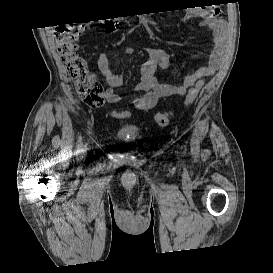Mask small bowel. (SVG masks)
<instances>
[{
	"label": "small bowel",
	"instance_id": "1",
	"mask_svg": "<svg viewBox=\"0 0 273 273\" xmlns=\"http://www.w3.org/2000/svg\"><path fill=\"white\" fill-rule=\"evenodd\" d=\"M184 17L186 19L200 18L204 25L212 31L213 50L209 55L208 63L193 74L185 76L180 85L162 83L159 81V75L166 74L171 69L168 51L165 48H145L147 59L141 65V79L134 89L140 95L129 101L133 107L148 111L154 109L161 98L182 96L198 80L212 76L222 65L227 50V25L220 18V10L218 8L189 9ZM126 52H133V48L127 47ZM97 64L109 86L104 92L105 100L111 104L122 103V97L115 90L123 84L122 75L112 70L109 59L104 53L98 55ZM116 113H121V115ZM114 115L129 117L130 113L122 111L115 112Z\"/></svg>",
	"mask_w": 273,
	"mask_h": 273
}]
</instances>
